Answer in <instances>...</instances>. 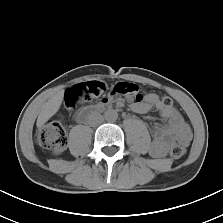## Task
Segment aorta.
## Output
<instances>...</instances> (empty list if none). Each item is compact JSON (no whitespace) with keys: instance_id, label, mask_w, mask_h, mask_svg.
I'll use <instances>...</instances> for the list:
<instances>
[{"instance_id":"aorta-1","label":"aorta","mask_w":223,"mask_h":223,"mask_svg":"<svg viewBox=\"0 0 223 223\" xmlns=\"http://www.w3.org/2000/svg\"><path fill=\"white\" fill-rule=\"evenodd\" d=\"M104 117L108 122H115L118 118V113L115 110L110 109L105 112Z\"/></svg>"}]
</instances>
